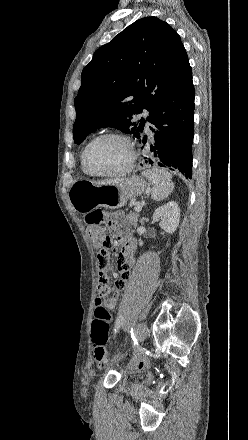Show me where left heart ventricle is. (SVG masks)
<instances>
[{
  "mask_svg": "<svg viewBox=\"0 0 248 440\" xmlns=\"http://www.w3.org/2000/svg\"><path fill=\"white\" fill-rule=\"evenodd\" d=\"M129 156V148L124 141L105 138L91 148L89 164L97 172H114L126 166Z\"/></svg>",
  "mask_w": 248,
  "mask_h": 440,
  "instance_id": "obj_1",
  "label": "left heart ventricle"
}]
</instances>
